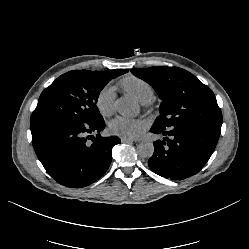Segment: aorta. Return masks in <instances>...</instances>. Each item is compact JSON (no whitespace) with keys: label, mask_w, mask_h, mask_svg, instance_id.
<instances>
[{"label":"aorta","mask_w":249,"mask_h":249,"mask_svg":"<svg viewBox=\"0 0 249 249\" xmlns=\"http://www.w3.org/2000/svg\"><path fill=\"white\" fill-rule=\"evenodd\" d=\"M115 109L125 117H133L137 113L134 103L127 97L118 98L115 101ZM137 153L142 158H151L154 153V145L148 141H142L137 146Z\"/></svg>","instance_id":"762f6f07"}]
</instances>
